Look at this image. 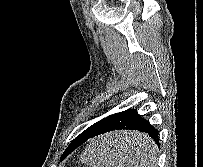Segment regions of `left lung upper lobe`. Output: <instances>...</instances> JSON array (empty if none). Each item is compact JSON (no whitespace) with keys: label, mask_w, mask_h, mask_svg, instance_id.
<instances>
[{"label":"left lung upper lobe","mask_w":203,"mask_h":167,"mask_svg":"<svg viewBox=\"0 0 203 167\" xmlns=\"http://www.w3.org/2000/svg\"><path fill=\"white\" fill-rule=\"evenodd\" d=\"M104 119H105V118H104ZM104 119H102V120H100V121L94 123V124L91 125L89 128H87L85 131H83L80 135H86V134H88V133H92ZM73 150H74V149H73ZM73 150H72V151H73ZM65 151H66V150H65ZM64 153H65V152H64ZM63 155H64V154H63Z\"/></svg>","instance_id":"left-lung-upper-lobe-1"}]
</instances>
